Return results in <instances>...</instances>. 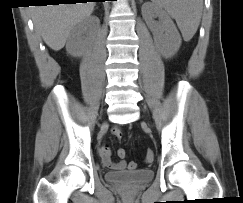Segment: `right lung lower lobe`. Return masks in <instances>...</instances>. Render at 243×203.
Wrapping results in <instances>:
<instances>
[{
	"label": "right lung lower lobe",
	"mask_w": 243,
	"mask_h": 203,
	"mask_svg": "<svg viewBox=\"0 0 243 203\" xmlns=\"http://www.w3.org/2000/svg\"><path fill=\"white\" fill-rule=\"evenodd\" d=\"M44 1H48V0H40V2H38L37 5H40L41 6V4H44L45 3ZM60 1L61 2H58V3H68V4H70V3H76L77 1H86V0H60ZM92 1L99 2V1H105V0H92ZM54 4H57V3H54Z\"/></svg>",
	"instance_id": "obj_1"
}]
</instances>
